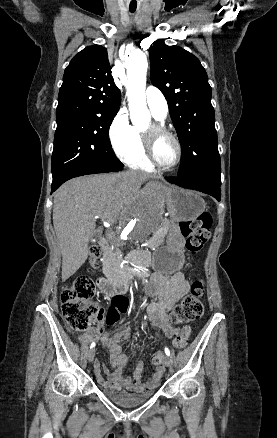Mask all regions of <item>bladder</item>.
I'll list each match as a JSON object with an SVG mask.
<instances>
[{
  "mask_svg": "<svg viewBox=\"0 0 277 438\" xmlns=\"http://www.w3.org/2000/svg\"><path fill=\"white\" fill-rule=\"evenodd\" d=\"M104 396L119 407L134 408L145 404L154 394V390L133 392L129 390L103 389Z\"/></svg>",
  "mask_w": 277,
  "mask_h": 438,
  "instance_id": "31cf9c89",
  "label": "bladder"
}]
</instances>
